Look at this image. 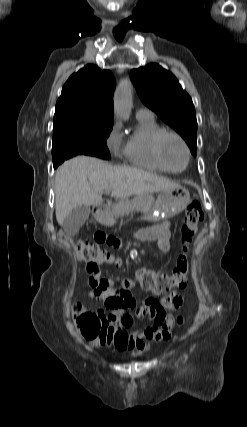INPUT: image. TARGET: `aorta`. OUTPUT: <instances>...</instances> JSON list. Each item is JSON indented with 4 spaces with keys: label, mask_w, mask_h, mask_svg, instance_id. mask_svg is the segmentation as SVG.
<instances>
[{
    "label": "aorta",
    "mask_w": 247,
    "mask_h": 427,
    "mask_svg": "<svg viewBox=\"0 0 247 427\" xmlns=\"http://www.w3.org/2000/svg\"><path fill=\"white\" fill-rule=\"evenodd\" d=\"M132 107V85L130 81H123L119 84L114 95V111L117 117L128 120ZM131 257H136L137 252L132 250Z\"/></svg>",
    "instance_id": "1"
}]
</instances>
